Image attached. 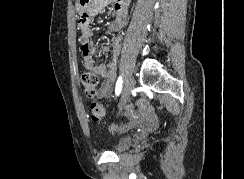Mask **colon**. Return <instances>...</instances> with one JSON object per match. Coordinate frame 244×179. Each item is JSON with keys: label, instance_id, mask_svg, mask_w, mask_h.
I'll return each mask as SVG.
<instances>
[{"label": "colon", "instance_id": "obj_1", "mask_svg": "<svg viewBox=\"0 0 244 179\" xmlns=\"http://www.w3.org/2000/svg\"><path fill=\"white\" fill-rule=\"evenodd\" d=\"M81 82L84 88L86 95L88 93H95L99 85V78L92 71L83 70L81 73ZM89 108L91 112V118L94 121H101L106 115L105 106L103 102L95 99L94 102H90ZM134 107H137L138 110H149L150 99L149 98H140V102H134ZM126 127L123 125L114 124L110 127L111 132H119L125 130Z\"/></svg>", "mask_w": 244, "mask_h": 179}]
</instances>
